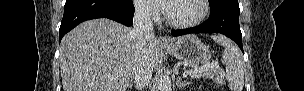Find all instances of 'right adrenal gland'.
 Segmentation results:
<instances>
[{
	"instance_id": "1",
	"label": "right adrenal gland",
	"mask_w": 304,
	"mask_h": 91,
	"mask_svg": "<svg viewBox=\"0 0 304 91\" xmlns=\"http://www.w3.org/2000/svg\"><path fill=\"white\" fill-rule=\"evenodd\" d=\"M132 87L137 88V86H136L135 83H130V84L128 85V88H132Z\"/></svg>"
}]
</instances>
